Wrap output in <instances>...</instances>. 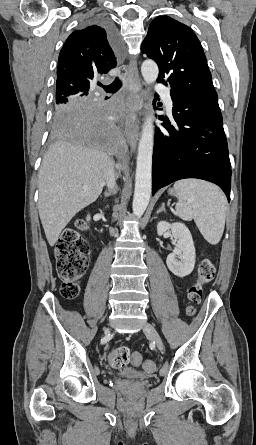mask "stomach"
<instances>
[{
	"mask_svg": "<svg viewBox=\"0 0 256 445\" xmlns=\"http://www.w3.org/2000/svg\"><path fill=\"white\" fill-rule=\"evenodd\" d=\"M169 193H170L171 195L176 194L175 190H173V189H170V190H169Z\"/></svg>",
	"mask_w": 256,
	"mask_h": 445,
	"instance_id": "stomach-1",
	"label": "stomach"
}]
</instances>
